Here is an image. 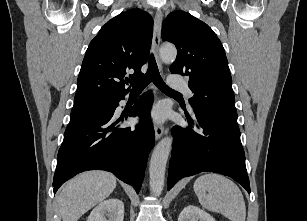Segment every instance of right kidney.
<instances>
[{"label":"right kidney","instance_id":"1","mask_svg":"<svg viewBox=\"0 0 307 221\" xmlns=\"http://www.w3.org/2000/svg\"><path fill=\"white\" fill-rule=\"evenodd\" d=\"M123 219V202L117 198H111L100 202L99 205L92 210L87 221H123Z\"/></svg>","mask_w":307,"mask_h":221}]
</instances>
